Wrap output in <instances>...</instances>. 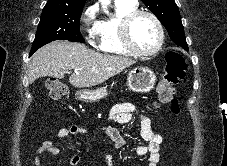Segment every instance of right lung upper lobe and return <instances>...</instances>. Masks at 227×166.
<instances>
[{
  "label": "right lung upper lobe",
  "instance_id": "cb5924a9",
  "mask_svg": "<svg viewBox=\"0 0 227 166\" xmlns=\"http://www.w3.org/2000/svg\"><path fill=\"white\" fill-rule=\"evenodd\" d=\"M86 0H48L43 10H80Z\"/></svg>",
  "mask_w": 227,
  "mask_h": 166
}]
</instances>
